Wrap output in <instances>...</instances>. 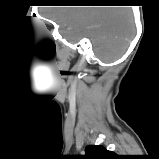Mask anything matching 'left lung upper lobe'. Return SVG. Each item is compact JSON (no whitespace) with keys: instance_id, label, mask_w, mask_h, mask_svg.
I'll list each match as a JSON object with an SVG mask.
<instances>
[{"instance_id":"left-lung-upper-lobe-1","label":"left lung upper lobe","mask_w":159,"mask_h":159,"mask_svg":"<svg viewBox=\"0 0 159 159\" xmlns=\"http://www.w3.org/2000/svg\"><path fill=\"white\" fill-rule=\"evenodd\" d=\"M86 154L80 159H119L120 157L103 146L89 145L85 149Z\"/></svg>"}]
</instances>
